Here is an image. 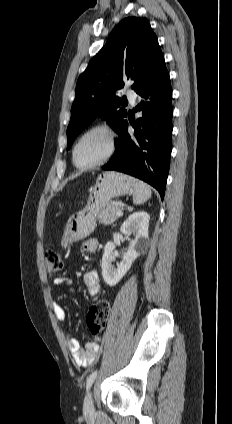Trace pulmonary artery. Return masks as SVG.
<instances>
[{
    "label": "pulmonary artery",
    "instance_id": "pulmonary-artery-1",
    "mask_svg": "<svg viewBox=\"0 0 232 424\" xmlns=\"http://www.w3.org/2000/svg\"><path fill=\"white\" fill-rule=\"evenodd\" d=\"M127 97L129 99V101L134 104L136 101V93L132 90H128L127 91Z\"/></svg>",
    "mask_w": 232,
    "mask_h": 424
}]
</instances>
